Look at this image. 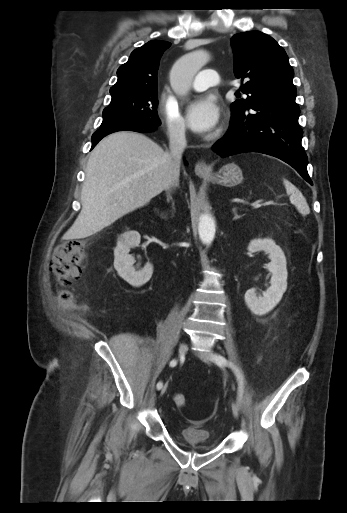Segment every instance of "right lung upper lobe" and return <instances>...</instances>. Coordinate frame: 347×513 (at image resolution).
<instances>
[{"mask_svg":"<svg viewBox=\"0 0 347 513\" xmlns=\"http://www.w3.org/2000/svg\"><path fill=\"white\" fill-rule=\"evenodd\" d=\"M170 45L167 41L152 40L135 49L128 61L119 67L118 80L110 93L157 90L160 58Z\"/></svg>","mask_w":347,"mask_h":513,"instance_id":"obj_1","label":"right lung upper lobe"}]
</instances>
